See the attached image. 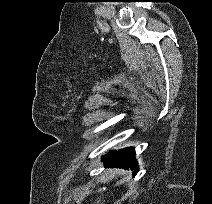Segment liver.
Listing matches in <instances>:
<instances>
[{"label":"liver","mask_w":212,"mask_h":204,"mask_svg":"<svg viewBox=\"0 0 212 204\" xmlns=\"http://www.w3.org/2000/svg\"><path fill=\"white\" fill-rule=\"evenodd\" d=\"M99 202H100V200H99V201H97V204H99Z\"/></svg>","instance_id":"6515ba94"}]
</instances>
